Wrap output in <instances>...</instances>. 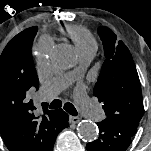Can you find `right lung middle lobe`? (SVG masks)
I'll return each mask as SVG.
<instances>
[{"instance_id": "right-lung-middle-lobe-1", "label": "right lung middle lobe", "mask_w": 151, "mask_h": 151, "mask_svg": "<svg viewBox=\"0 0 151 151\" xmlns=\"http://www.w3.org/2000/svg\"><path fill=\"white\" fill-rule=\"evenodd\" d=\"M36 33L37 27H31L18 34L19 44L1 54L0 73L13 81H20L35 71L31 48Z\"/></svg>"}]
</instances>
